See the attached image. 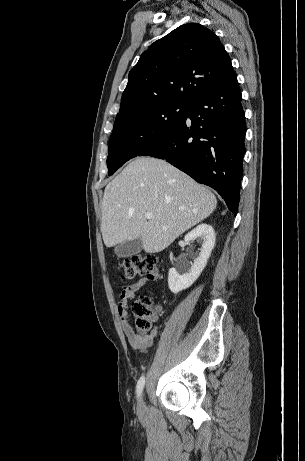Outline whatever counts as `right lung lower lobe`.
Returning <instances> with one entry per match:
<instances>
[{
  "mask_svg": "<svg viewBox=\"0 0 305 461\" xmlns=\"http://www.w3.org/2000/svg\"><path fill=\"white\" fill-rule=\"evenodd\" d=\"M241 99L233 74L193 99L180 126L139 156L165 159L197 182L212 187L236 215L246 133Z\"/></svg>",
  "mask_w": 305,
  "mask_h": 461,
  "instance_id": "98d812e1",
  "label": "right lung lower lobe"
}]
</instances>
